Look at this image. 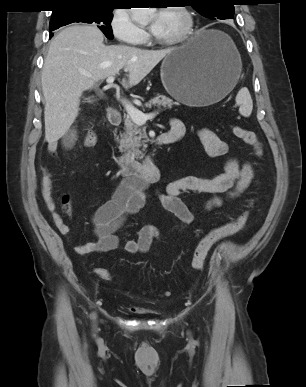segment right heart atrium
I'll return each mask as SVG.
<instances>
[{
    "mask_svg": "<svg viewBox=\"0 0 306 387\" xmlns=\"http://www.w3.org/2000/svg\"><path fill=\"white\" fill-rule=\"evenodd\" d=\"M110 29L113 36L121 43L140 45L147 38L146 31L132 18L129 10L117 8L112 12Z\"/></svg>",
    "mask_w": 306,
    "mask_h": 387,
    "instance_id": "d8ad5b80",
    "label": "right heart atrium"
}]
</instances>
